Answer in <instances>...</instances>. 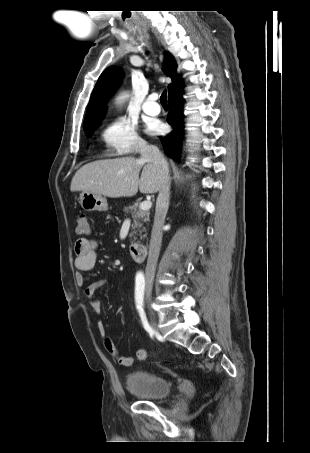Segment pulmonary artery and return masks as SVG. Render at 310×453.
<instances>
[{
    "label": "pulmonary artery",
    "instance_id": "e3ab8cb5",
    "mask_svg": "<svg viewBox=\"0 0 310 453\" xmlns=\"http://www.w3.org/2000/svg\"><path fill=\"white\" fill-rule=\"evenodd\" d=\"M156 100L157 95L155 93L148 96L142 106V109L146 114L156 116L160 113V106L156 103Z\"/></svg>",
    "mask_w": 310,
    "mask_h": 453
}]
</instances>
